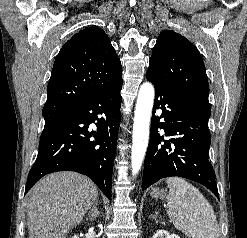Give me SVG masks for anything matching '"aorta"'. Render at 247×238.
Here are the masks:
<instances>
[{"mask_svg":"<svg viewBox=\"0 0 247 238\" xmlns=\"http://www.w3.org/2000/svg\"><path fill=\"white\" fill-rule=\"evenodd\" d=\"M154 103V87L145 82L141 85L136 102L132 149L131 167L135 176L141 169L149 142V126Z\"/></svg>","mask_w":247,"mask_h":238,"instance_id":"aorta-1","label":"aorta"}]
</instances>
